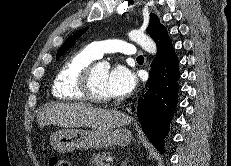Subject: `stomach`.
Wrapping results in <instances>:
<instances>
[{"mask_svg": "<svg viewBox=\"0 0 231 166\" xmlns=\"http://www.w3.org/2000/svg\"><path fill=\"white\" fill-rule=\"evenodd\" d=\"M131 132L126 128L109 130L63 129L50 136L52 148L59 153L76 149L87 150L105 148L112 145L127 146L131 142Z\"/></svg>", "mask_w": 231, "mask_h": 166, "instance_id": "0dacf381", "label": "stomach"}]
</instances>
